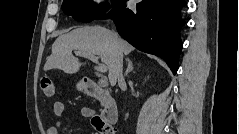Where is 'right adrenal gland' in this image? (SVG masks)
<instances>
[{
  "label": "right adrenal gland",
  "mask_w": 239,
  "mask_h": 134,
  "mask_svg": "<svg viewBox=\"0 0 239 134\" xmlns=\"http://www.w3.org/2000/svg\"><path fill=\"white\" fill-rule=\"evenodd\" d=\"M126 61H127L128 65H127V69H126L124 76H128V74L134 69L132 61L129 58H127Z\"/></svg>",
  "instance_id": "right-adrenal-gland-1"
}]
</instances>
